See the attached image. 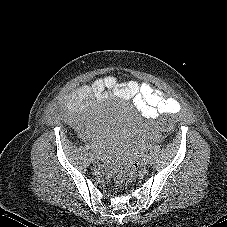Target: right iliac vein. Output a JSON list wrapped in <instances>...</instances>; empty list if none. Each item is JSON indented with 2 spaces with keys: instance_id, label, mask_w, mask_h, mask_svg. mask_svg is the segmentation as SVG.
Masks as SVG:
<instances>
[{
  "instance_id": "right-iliac-vein-1",
  "label": "right iliac vein",
  "mask_w": 227,
  "mask_h": 227,
  "mask_svg": "<svg viewBox=\"0 0 227 227\" xmlns=\"http://www.w3.org/2000/svg\"><path fill=\"white\" fill-rule=\"evenodd\" d=\"M90 160L92 161L93 164H96L97 162V158L93 154H90Z\"/></svg>"
}]
</instances>
